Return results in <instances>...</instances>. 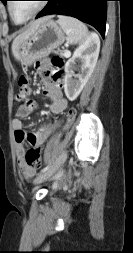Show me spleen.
<instances>
[{"instance_id": "obj_1", "label": "spleen", "mask_w": 133, "mask_h": 253, "mask_svg": "<svg viewBox=\"0 0 133 253\" xmlns=\"http://www.w3.org/2000/svg\"><path fill=\"white\" fill-rule=\"evenodd\" d=\"M58 23L67 35L71 44L83 42L88 37V29L84 23L70 16L59 15Z\"/></svg>"}]
</instances>
